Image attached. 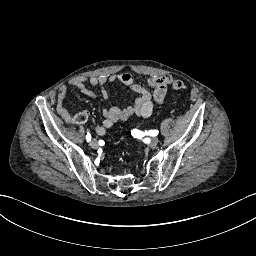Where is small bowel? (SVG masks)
I'll use <instances>...</instances> for the list:
<instances>
[{"label":"small bowel","instance_id":"small-bowel-1","mask_svg":"<svg viewBox=\"0 0 256 256\" xmlns=\"http://www.w3.org/2000/svg\"><path fill=\"white\" fill-rule=\"evenodd\" d=\"M117 82L129 87V89L136 93L138 97L134 101L133 105L123 108L111 107L103 110V120L101 124L95 126L96 134L101 137L106 136L107 129L112 127L118 121L127 120L133 115H137L142 118L150 117L154 106L156 104H162L166 100L168 95V86L172 83V77L169 75H162L150 78L147 81V84L153 89L152 93L127 72L112 75L103 74L99 76L93 75L89 77H78L71 80L70 84L88 96H95V93L88 88L87 85L98 86L100 88V96L107 100L110 98L107 86ZM66 94L67 87L61 86L57 92L56 109L63 117L69 116V112L65 106ZM82 114L87 115V112L83 111Z\"/></svg>","mask_w":256,"mask_h":256}]
</instances>
